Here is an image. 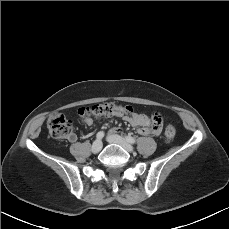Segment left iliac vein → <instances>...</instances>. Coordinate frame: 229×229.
<instances>
[{
	"label": "left iliac vein",
	"instance_id": "obj_1",
	"mask_svg": "<svg viewBox=\"0 0 229 229\" xmlns=\"http://www.w3.org/2000/svg\"><path fill=\"white\" fill-rule=\"evenodd\" d=\"M107 141L112 144H118L122 146L128 152H132L134 150L133 146L128 143L124 138L120 137L119 135H109L107 137Z\"/></svg>",
	"mask_w": 229,
	"mask_h": 229
}]
</instances>
